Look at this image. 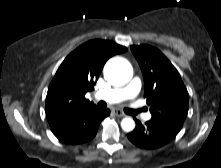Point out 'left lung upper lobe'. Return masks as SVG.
I'll use <instances>...</instances> for the list:
<instances>
[{"label": "left lung upper lobe", "instance_id": "5c2ea615", "mask_svg": "<svg viewBox=\"0 0 221 168\" xmlns=\"http://www.w3.org/2000/svg\"><path fill=\"white\" fill-rule=\"evenodd\" d=\"M144 77V97L152 121L180 131L189 108V94L171 62L149 45L131 46Z\"/></svg>", "mask_w": 221, "mask_h": 168}]
</instances>
